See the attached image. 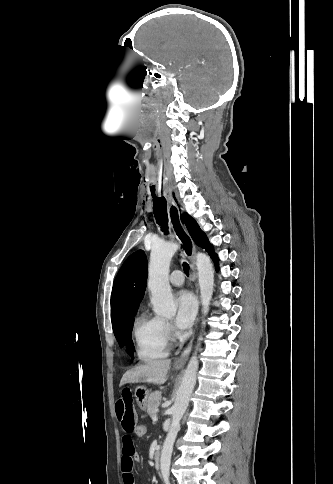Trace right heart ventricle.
Listing matches in <instances>:
<instances>
[{"mask_svg":"<svg viewBox=\"0 0 333 484\" xmlns=\"http://www.w3.org/2000/svg\"><path fill=\"white\" fill-rule=\"evenodd\" d=\"M133 335L138 357L145 362L162 359L168 354L165 321L141 311L135 319Z\"/></svg>","mask_w":333,"mask_h":484,"instance_id":"1","label":"right heart ventricle"}]
</instances>
